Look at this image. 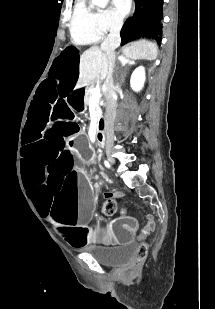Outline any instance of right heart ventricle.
<instances>
[{"label": "right heart ventricle", "mask_w": 215, "mask_h": 309, "mask_svg": "<svg viewBox=\"0 0 215 309\" xmlns=\"http://www.w3.org/2000/svg\"><path fill=\"white\" fill-rule=\"evenodd\" d=\"M94 14H75L71 19V41L75 45H84L87 42H99L104 32L103 27H98ZM116 44V43H109Z\"/></svg>", "instance_id": "1"}]
</instances>
